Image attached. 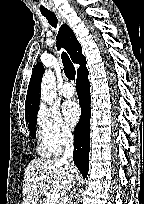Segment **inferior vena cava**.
I'll use <instances>...</instances> for the list:
<instances>
[{"label": "inferior vena cava", "instance_id": "obj_1", "mask_svg": "<svg viewBox=\"0 0 144 204\" xmlns=\"http://www.w3.org/2000/svg\"><path fill=\"white\" fill-rule=\"evenodd\" d=\"M64 141L66 149L63 155V161H65L69 166H71V168H73V171H76V168L73 164L74 137L71 132L68 131L66 133Z\"/></svg>", "mask_w": 144, "mask_h": 204}]
</instances>
